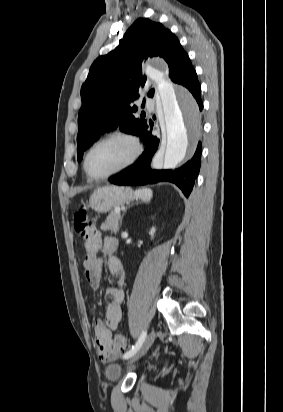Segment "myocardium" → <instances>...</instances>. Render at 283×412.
<instances>
[{"mask_svg": "<svg viewBox=\"0 0 283 412\" xmlns=\"http://www.w3.org/2000/svg\"><path fill=\"white\" fill-rule=\"evenodd\" d=\"M115 138H121V139H125L127 141H129L132 145L133 148V152L131 157L120 167L114 169L113 171H110L106 174L103 175H95L93 174L89 168H88V158L91 154V152L93 151V149L95 147H97L99 144L111 140V139H115ZM142 153V145L140 140L138 139V137L136 135H134L131 132L128 131H123V130H117V131H113L110 132L102 137H100L99 139H97L95 142H93L89 148L87 149L85 155H84V159H83V168L86 172V174L94 180H103V179H107L115 174H118L124 170H126L127 168H129L130 166H132L140 157Z\"/></svg>", "mask_w": 283, "mask_h": 412, "instance_id": "obj_1", "label": "myocardium"}]
</instances>
